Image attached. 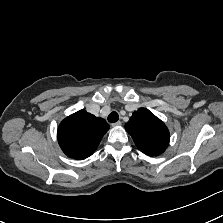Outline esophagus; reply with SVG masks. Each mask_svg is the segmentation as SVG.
Segmentation results:
<instances>
[{
  "mask_svg": "<svg viewBox=\"0 0 223 223\" xmlns=\"http://www.w3.org/2000/svg\"><path fill=\"white\" fill-rule=\"evenodd\" d=\"M122 123L120 122V121H118V122H115V123H112L111 125L113 126V127H117V126H120Z\"/></svg>",
  "mask_w": 223,
  "mask_h": 223,
  "instance_id": "esophagus-1",
  "label": "esophagus"
}]
</instances>
